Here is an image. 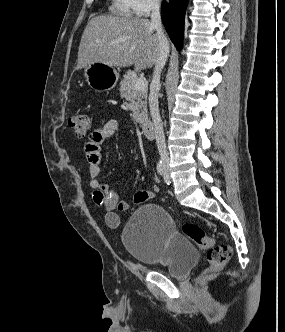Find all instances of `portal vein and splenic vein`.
<instances>
[{
    "label": "portal vein and splenic vein",
    "instance_id": "18ae733b",
    "mask_svg": "<svg viewBox=\"0 0 285 332\" xmlns=\"http://www.w3.org/2000/svg\"><path fill=\"white\" fill-rule=\"evenodd\" d=\"M147 87V80L144 76H140L135 83V90L142 91Z\"/></svg>",
    "mask_w": 285,
    "mask_h": 332
}]
</instances>
